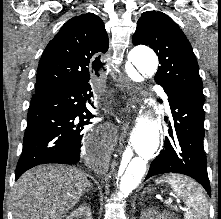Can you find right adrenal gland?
<instances>
[{"instance_id": "obj_1", "label": "right adrenal gland", "mask_w": 221, "mask_h": 219, "mask_svg": "<svg viewBox=\"0 0 221 219\" xmlns=\"http://www.w3.org/2000/svg\"><path fill=\"white\" fill-rule=\"evenodd\" d=\"M93 188H92V185H91V183L89 182V185H88V188L86 189V193H88L90 190H92Z\"/></svg>"}]
</instances>
